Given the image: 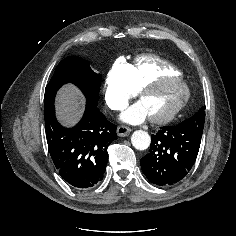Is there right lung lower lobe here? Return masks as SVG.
<instances>
[{"label": "right lung lower lobe", "instance_id": "obj_1", "mask_svg": "<svg viewBox=\"0 0 236 236\" xmlns=\"http://www.w3.org/2000/svg\"><path fill=\"white\" fill-rule=\"evenodd\" d=\"M49 152L61 177L76 189H90L102 180L108 161L107 148L117 139L116 126L97 106L85 108L77 125H60L55 111L45 113Z\"/></svg>", "mask_w": 236, "mask_h": 236}]
</instances>
